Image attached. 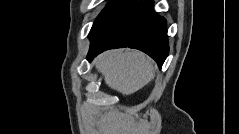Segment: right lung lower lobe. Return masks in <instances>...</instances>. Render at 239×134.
I'll use <instances>...</instances> for the list:
<instances>
[{
  "label": "right lung lower lobe",
  "mask_w": 239,
  "mask_h": 134,
  "mask_svg": "<svg viewBox=\"0 0 239 134\" xmlns=\"http://www.w3.org/2000/svg\"><path fill=\"white\" fill-rule=\"evenodd\" d=\"M89 38V59L107 49L130 47L147 53L161 67L169 52L166 20L155 13L152 0L123 5Z\"/></svg>",
  "instance_id": "obj_1"
}]
</instances>
